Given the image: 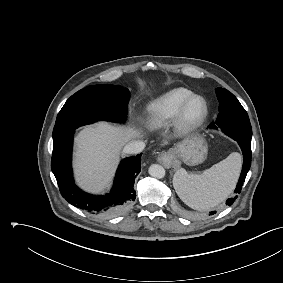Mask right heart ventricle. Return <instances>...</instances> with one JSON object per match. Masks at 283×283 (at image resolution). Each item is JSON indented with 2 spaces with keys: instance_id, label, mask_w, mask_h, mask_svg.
Instances as JSON below:
<instances>
[{
  "instance_id": "right-heart-ventricle-1",
  "label": "right heart ventricle",
  "mask_w": 283,
  "mask_h": 283,
  "mask_svg": "<svg viewBox=\"0 0 283 283\" xmlns=\"http://www.w3.org/2000/svg\"><path fill=\"white\" fill-rule=\"evenodd\" d=\"M192 92L186 88L170 90L149 103L147 107L146 125L152 130L160 129L169 124L186 97Z\"/></svg>"
}]
</instances>
